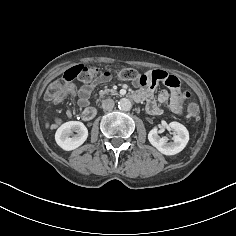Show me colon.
Returning a JSON list of instances; mask_svg holds the SVG:
<instances>
[{
  "label": "colon",
  "instance_id": "1",
  "mask_svg": "<svg viewBox=\"0 0 236 236\" xmlns=\"http://www.w3.org/2000/svg\"><path fill=\"white\" fill-rule=\"evenodd\" d=\"M98 73V69L94 66L87 65H76L68 70H66L62 76V79L53 83L48 91L47 98L50 101L58 102L61 99L62 86L66 83H73L75 81H82L85 83H90L93 81L94 77ZM117 77L122 80H132L137 78V72L130 67H124L117 72ZM167 86H176L177 80L174 77H169L165 82ZM72 87V86H71ZM181 100L189 97V93L184 91L179 93ZM187 116L192 119L194 122H197L200 117V109L196 103H190L186 106Z\"/></svg>",
  "mask_w": 236,
  "mask_h": 236
}]
</instances>
